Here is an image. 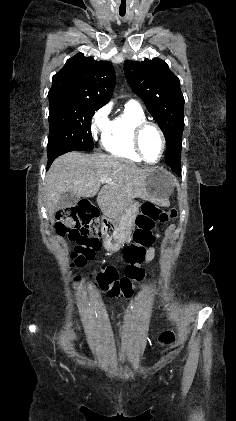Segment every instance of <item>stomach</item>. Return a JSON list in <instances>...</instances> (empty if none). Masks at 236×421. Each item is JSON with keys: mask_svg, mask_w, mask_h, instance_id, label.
<instances>
[{"mask_svg": "<svg viewBox=\"0 0 236 421\" xmlns=\"http://www.w3.org/2000/svg\"><path fill=\"white\" fill-rule=\"evenodd\" d=\"M147 190L153 202H165L173 186L167 170L163 168H149L147 176ZM139 202L131 200L124 213L117 219H108V231L104 235L106 251H119L125 243H129L139 215Z\"/></svg>", "mask_w": 236, "mask_h": 421, "instance_id": "stomach-1", "label": "stomach"}]
</instances>
